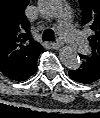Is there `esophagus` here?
Listing matches in <instances>:
<instances>
[{
	"mask_svg": "<svg viewBox=\"0 0 100 118\" xmlns=\"http://www.w3.org/2000/svg\"><path fill=\"white\" fill-rule=\"evenodd\" d=\"M50 45L53 49H59L62 44L59 41H56V42L50 43Z\"/></svg>",
	"mask_w": 100,
	"mask_h": 118,
	"instance_id": "obj_1",
	"label": "esophagus"
}]
</instances>
